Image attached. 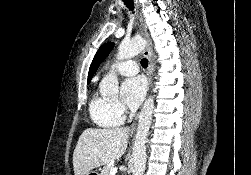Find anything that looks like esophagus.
<instances>
[{
    "instance_id": "esophagus-1",
    "label": "esophagus",
    "mask_w": 251,
    "mask_h": 175,
    "mask_svg": "<svg viewBox=\"0 0 251 175\" xmlns=\"http://www.w3.org/2000/svg\"><path fill=\"white\" fill-rule=\"evenodd\" d=\"M143 35H144V38L147 41L146 46H145V48L143 50V55H144V57H146L148 59V68H147V71H146V75H147V78H148V85H150L151 78H152L153 67H154L153 54H152L151 49H150V43H149V40H148L147 33L144 32ZM136 120H137V118H136ZM132 130H135V124L132 126Z\"/></svg>"
}]
</instances>
